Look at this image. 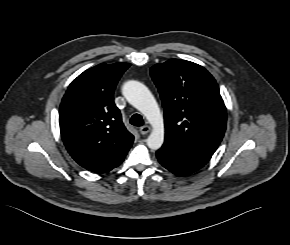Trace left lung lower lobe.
<instances>
[{
    "label": "left lung lower lobe",
    "mask_w": 290,
    "mask_h": 245,
    "mask_svg": "<svg viewBox=\"0 0 290 245\" xmlns=\"http://www.w3.org/2000/svg\"><path fill=\"white\" fill-rule=\"evenodd\" d=\"M156 156L166 169L179 176L189 175L209 161L204 157L184 152L166 144H163L156 152Z\"/></svg>",
    "instance_id": "obj_1"
}]
</instances>
